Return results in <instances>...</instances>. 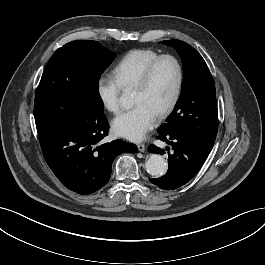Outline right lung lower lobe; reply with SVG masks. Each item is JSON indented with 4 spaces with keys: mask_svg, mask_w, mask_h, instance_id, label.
I'll use <instances>...</instances> for the list:
<instances>
[{
    "mask_svg": "<svg viewBox=\"0 0 265 265\" xmlns=\"http://www.w3.org/2000/svg\"><path fill=\"white\" fill-rule=\"evenodd\" d=\"M103 114H84L65 127L40 137L44 158L68 189L90 194L103 187L111 176L113 160L121 153H136L134 144L122 140L99 145L108 135Z\"/></svg>",
    "mask_w": 265,
    "mask_h": 265,
    "instance_id": "1",
    "label": "right lung lower lobe"
}]
</instances>
